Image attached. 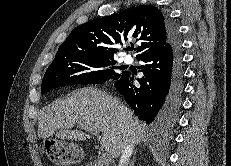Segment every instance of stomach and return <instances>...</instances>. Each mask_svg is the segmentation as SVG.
I'll list each match as a JSON object with an SVG mask.
<instances>
[{
  "label": "stomach",
  "mask_w": 231,
  "mask_h": 166,
  "mask_svg": "<svg viewBox=\"0 0 231 166\" xmlns=\"http://www.w3.org/2000/svg\"><path fill=\"white\" fill-rule=\"evenodd\" d=\"M44 148L50 160L59 166L77 164L85 156L80 146L61 139H48L44 141Z\"/></svg>",
  "instance_id": "0dacf381"
}]
</instances>
